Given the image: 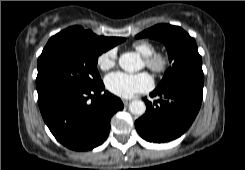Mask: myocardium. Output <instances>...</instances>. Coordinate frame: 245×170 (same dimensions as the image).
Wrapping results in <instances>:
<instances>
[{"label":"myocardium","mask_w":245,"mask_h":170,"mask_svg":"<svg viewBox=\"0 0 245 170\" xmlns=\"http://www.w3.org/2000/svg\"><path fill=\"white\" fill-rule=\"evenodd\" d=\"M146 66L156 73L164 72L169 66V57L165 53L155 52L144 57Z\"/></svg>","instance_id":"obj_1"}]
</instances>
